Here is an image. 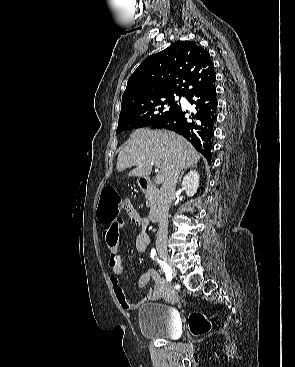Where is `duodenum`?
<instances>
[{
	"label": "duodenum",
	"mask_w": 295,
	"mask_h": 367,
	"mask_svg": "<svg viewBox=\"0 0 295 367\" xmlns=\"http://www.w3.org/2000/svg\"><path fill=\"white\" fill-rule=\"evenodd\" d=\"M139 185L143 191L150 193L154 198L153 205L149 212V219L152 222H155L160 218L163 212V202L160 190L153 184V182L148 177H141L139 180Z\"/></svg>",
	"instance_id": "410a0bca"
}]
</instances>
